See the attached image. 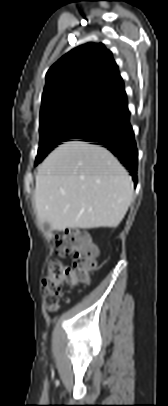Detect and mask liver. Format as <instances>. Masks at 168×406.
Returning a JSON list of instances; mask_svg holds the SVG:
<instances>
[{"label":"liver","instance_id":"6515ba94","mask_svg":"<svg viewBox=\"0 0 168 406\" xmlns=\"http://www.w3.org/2000/svg\"><path fill=\"white\" fill-rule=\"evenodd\" d=\"M133 198V182L107 149L67 141L38 167L35 205L50 230L117 227Z\"/></svg>","mask_w":168,"mask_h":406}]
</instances>
